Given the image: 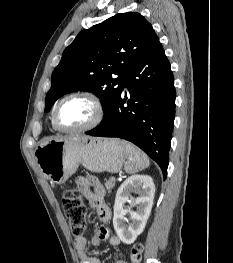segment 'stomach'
<instances>
[{"instance_id":"0dacf381","label":"stomach","mask_w":233,"mask_h":263,"mask_svg":"<svg viewBox=\"0 0 233 263\" xmlns=\"http://www.w3.org/2000/svg\"><path fill=\"white\" fill-rule=\"evenodd\" d=\"M35 159L44 176L62 184L82 164L86 169L101 173H117L126 159L123 142L116 138L64 136L41 143Z\"/></svg>"}]
</instances>
